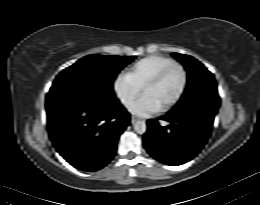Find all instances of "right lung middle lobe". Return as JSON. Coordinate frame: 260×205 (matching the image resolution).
Listing matches in <instances>:
<instances>
[{
	"mask_svg": "<svg viewBox=\"0 0 260 205\" xmlns=\"http://www.w3.org/2000/svg\"><path fill=\"white\" fill-rule=\"evenodd\" d=\"M134 58V56L88 55L64 69L56 77L52 88L71 87L104 100H117L113 93V81L119 71Z\"/></svg>",
	"mask_w": 260,
	"mask_h": 205,
	"instance_id": "dd1d6c3e",
	"label": "right lung middle lobe"
}]
</instances>
